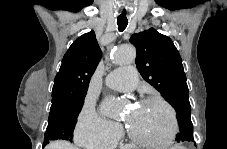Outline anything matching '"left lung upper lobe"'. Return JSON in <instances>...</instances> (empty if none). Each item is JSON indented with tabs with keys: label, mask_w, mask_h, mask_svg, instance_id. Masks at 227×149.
Masks as SVG:
<instances>
[{
	"label": "left lung upper lobe",
	"mask_w": 227,
	"mask_h": 149,
	"mask_svg": "<svg viewBox=\"0 0 227 149\" xmlns=\"http://www.w3.org/2000/svg\"><path fill=\"white\" fill-rule=\"evenodd\" d=\"M136 65L143 79L158 90L177 112V142H193L191 106L182 59L172 40L154 28L133 34Z\"/></svg>",
	"instance_id": "1"
}]
</instances>
